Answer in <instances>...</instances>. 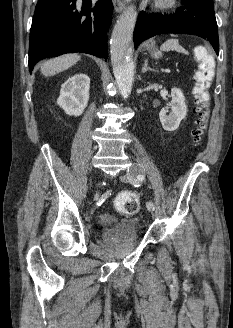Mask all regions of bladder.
Instances as JSON below:
<instances>
[{
	"mask_svg": "<svg viewBox=\"0 0 233 328\" xmlns=\"http://www.w3.org/2000/svg\"><path fill=\"white\" fill-rule=\"evenodd\" d=\"M124 235L126 237H130L132 244L135 245L137 243V236L133 231H129V230L124 231Z\"/></svg>",
	"mask_w": 233,
	"mask_h": 328,
	"instance_id": "1",
	"label": "bladder"
}]
</instances>
